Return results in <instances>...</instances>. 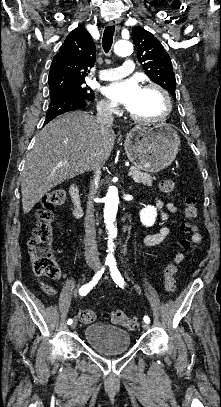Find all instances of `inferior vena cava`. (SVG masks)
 Wrapping results in <instances>:
<instances>
[{"label":"inferior vena cava","instance_id":"1","mask_svg":"<svg viewBox=\"0 0 221 407\" xmlns=\"http://www.w3.org/2000/svg\"><path fill=\"white\" fill-rule=\"evenodd\" d=\"M114 117L112 107L107 103H102L97 106V122L103 131L113 125ZM92 171L94 179L91 181L89 192V201L87 203V210L85 216V259L87 262H98V251L96 245V229L94 219V205L92 196L95 194L94 182L98 181L101 174V163L96 158L92 163Z\"/></svg>","mask_w":221,"mask_h":407}]
</instances>
